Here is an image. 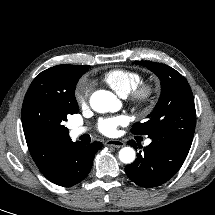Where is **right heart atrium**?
<instances>
[{
  "label": "right heart atrium",
  "mask_w": 215,
  "mask_h": 215,
  "mask_svg": "<svg viewBox=\"0 0 215 215\" xmlns=\"http://www.w3.org/2000/svg\"><path fill=\"white\" fill-rule=\"evenodd\" d=\"M91 88H92V84L87 80L80 81L76 86L74 95H75L76 102L80 106L86 105L90 96Z\"/></svg>",
  "instance_id": "obj_1"
}]
</instances>
